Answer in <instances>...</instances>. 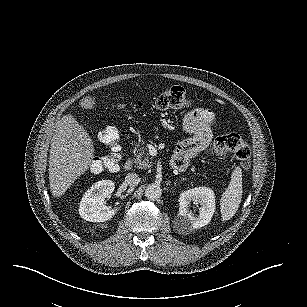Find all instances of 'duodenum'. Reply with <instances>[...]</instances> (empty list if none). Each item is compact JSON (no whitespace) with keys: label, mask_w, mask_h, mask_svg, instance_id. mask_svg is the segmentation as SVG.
I'll use <instances>...</instances> for the list:
<instances>
[{"label":"duodenum","mask_w":307,"mask_h":307,"mask_svg":"<svg viewBox=\"0 0 307 307\" xmlns=\"http://www.w3.org/2000/svg\"><path fill=\"white\" fill-rule=\"evenodd\" d=\"M133 162L130 158H127L123 163V169L125 171H130L132 169Z\"/></svg>","instance_id":"duodenum-1"}]
</instances>
